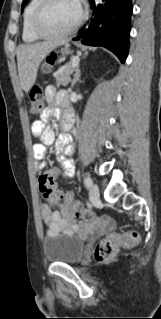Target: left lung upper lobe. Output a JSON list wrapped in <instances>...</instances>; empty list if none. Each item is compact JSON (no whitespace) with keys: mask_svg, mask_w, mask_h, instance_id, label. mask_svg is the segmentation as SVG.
Returning a JSON list of instances; mask_svg holds the SVG:
<instances>
[{"mask_svg":"<svg viewBox=\"0 0 161 319\" xmlns=\"http://www.w3.org/2000/svg\"><path fill=\"white\" fill-rule=\"evenodd\" d=\"M28 1H29V0H24V1H23V3H22V10H23V7L28 3Z\"/></svg>","mask_w":161,"mask_h":319,"instance_id":"5c2ea615","label":"left lung upper lobe"}]
</instances>
